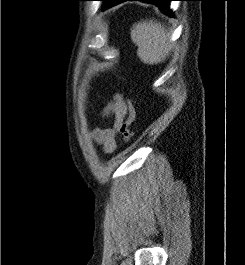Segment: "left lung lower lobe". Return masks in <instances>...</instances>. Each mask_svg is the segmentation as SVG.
<instances>
[{"mask_svg":"<svg viewBox=\"0 0 245 265\" xmlns=\"http://www.w3.org/2000/svg\"><path fill=\"white\" fill-rule=\"evenodd\" d=\"M124 1H142V2H148V3H154L156 4L165 14L173 17V13L171 10H169V3L174 0H107L104 1V4L102 6V10L114 6L116 4L122 3Z\"/></svg>","mask_w":245,"mask_h":265,"instance_id":"left-lung-lower-lobe-1","label":"left lung lower lobe"}]
</instances>
